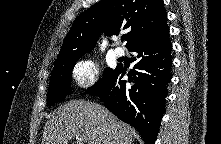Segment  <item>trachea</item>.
Returning a JSON list of instances; mask_svg holds the SVG:
<instances>
[{
  "instance_id": "3493384b",
  "label": "trachea",
  "mask_w": 221,
  "mask_h": 144,
  "mask_svg": "<svg viewBox=\"0 0 221 144\" xmlns=\"http://www.w3.org/2000/svg\"><path fill=\"white\" fill-rule=\"evenodd\" d=\"M125 39H126V37H124V36H123V37H121V41H124Z\"/></svg>"
}]
</instances>
